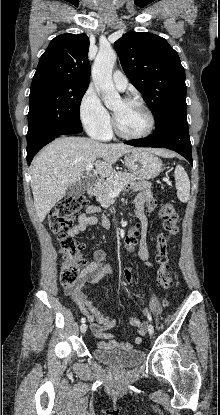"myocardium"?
<instances>
[{
  "label": "myocardium",
  "instance_id": "obj_1",
  "mask_svg": "<svg viewBox=\"0 0 220 415\" xmlns=\"http://www.w3.org/2000/svg\"><path fill=\"white\" fill-rule=\"evenodd\" d=\"M122 101L126 104H133V105L140 106L147 113V115L149 117V127L142 134L130 135V134H127V133L123 132L120 129V127L118 125V122H117V120L114 116L113 117V128H114L115 133L119 137L124 138V139H128V140L144 139V138L148 137L149 135H151L152 132L154 131L155 125H156L155 115H154L153 111L151 110V108L144 101H142L140 99H137V98L128 97V98H124Z\"/></svg>",
  "mask_w": 220,
  "mask_h": 415
}]
</instances>
